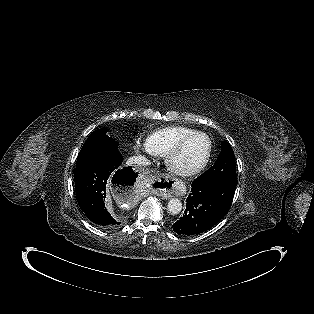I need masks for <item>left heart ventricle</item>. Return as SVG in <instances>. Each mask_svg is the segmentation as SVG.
I'll return each mask as SVG.
<instances>
[{"label": "left heart ventricle", "instance_id": "left-heart-ventricle-1", "mask_svg": "<svg viewBox=\"0 0 314 314\" xmlns=\"http://www.w3.org/2000/svg\"><path fill=\"white\" fill-rule=\"evenodd\" d=\"M208 149L207 140L198 136L189 141L178 159L181 167L190 168L198 165L203 161Z\"/></svg>", "mask_w": 314, "mask_h": 314}]
</instances>
